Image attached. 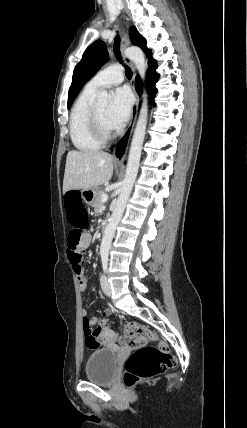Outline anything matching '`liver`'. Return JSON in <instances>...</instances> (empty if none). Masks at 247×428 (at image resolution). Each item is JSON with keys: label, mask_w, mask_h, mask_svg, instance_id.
I'll use <instances>...</instances> for the list:
<instances>
[{"label": "liver", "mask_w": 247, "mask_h": 428, "mask_svg": "<svg viewBox=\"0 0 247 428\" xmlns=\"http://www.w3.org/2000/svg\"><path fill=\"white\" fill-rule=\"evenodd\" d=\"M113 174V157L103 151L68 152L63 180V193L96 188Z\"/></svg>", "instance_id": "6515ba94"}]
</instances>
